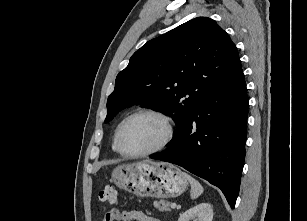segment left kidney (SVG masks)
<instances>
[{"label":"left kidney","instance_id":"1","mask_svg":"<svg viewBox=\"0 0 307 221\" xmlns=\"http://www.w3.org/2000/svg\"><path fill=\"white\" fill-rule=\"evenodd\" d=\"M213 209L209 203H201L180 215L178 221H212Z\"/></svg>","mask_w":307,"mask_h":221}]
</instances>
